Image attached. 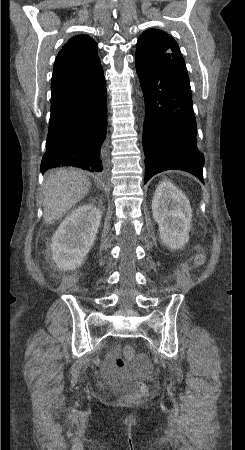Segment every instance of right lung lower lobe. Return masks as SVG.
<instances>
[{
  "instance_id": "right-lung-lower-lobe-1",
  "label": "right lung lower lobe",
  "mask_w": 245,
  "mask_h": 450,
  "mask_svg": "<svg viewBox=\"0 0 245 450\" xmlns=\"http://www.w3.org/2000/svg\"><path fill=\"white\" fill-rule=\"evenodd\" d=\"M107 97L103 69L51 100L41 172L72 166L103 176L107 168Z\"/></svg>"
}]
</instances>
